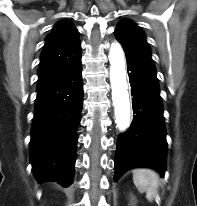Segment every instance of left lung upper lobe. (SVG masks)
Returning <instances> with one entry per match:
<instances>
[{"mask_svg":"<svg viewBox=\"0 0 197 206\" xmlns=\"http://www.w3.org/2000/svg\"><path fill=\"white\" fill-rule=\"evenodd\" d=\"M116 39L122 44L126 58L133 61L156 79V69L145 34L134 22L124 19L115 29Z\"/></svg>","mask_w":197,"mask_h":206,"instance_id":"left-lung-upper-lobe-1","label":"left lung upper lobe"}]
</instances>
